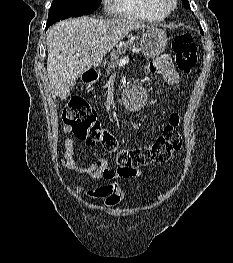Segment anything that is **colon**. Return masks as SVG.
Instances as JSON below:
<instances>
[{"mask_svg": "<svg viewBox=\"0 0 233 263\" xmlns=\"http://www.w3.org/2000/svg\"><path fill=\"white\" fill-rule=\"evenodd\" d=\"M174 62L184 73L193 70L197 63V49L190 33L178 34L172 43ZM62 120L66 127L80 140L99 143L103 150L116 157L117 169L123 175H136L140 167L169 160L174 151L181 148L180 117L172 113L161 135L148 145L122 148L112 132L103 127L97 113L84 99L72 98L64 107Z\"/></svg>", "mask_w": 233, "mask_h": 263, "instance_id": "1", "label": "colon"}]
</instances>
